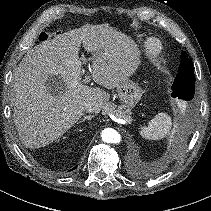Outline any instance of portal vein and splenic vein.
<instances>
[{
	"label": "portal vein and splenic vein",
	"mask_w": 211,
	"mask_h": 211,
	"mask_svg": "<svg viewBox=\"0 0 211 211\" xmlns=\"http://www.w3.org/2000/svg\"><path fill=\"white\" fill-rule=\"evenodd\" d=\"M89 71L91 72V68H90V66H89ZM90 82V76L89 75H87L86 77H85V79L83 80V83H89ZM111 118H112V120H114L115 122H119L121 119H117L114 115H112L111 114V116H110Z\"/></svg>",
	"instance_id": "portal-vein-and-splenic-vein-1"
}]
</instances>
